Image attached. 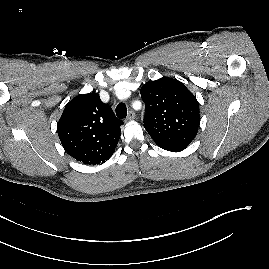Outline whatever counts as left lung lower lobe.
Listing matches in <instances>:
<instances>
[{
	"mask_svg": "<svg viewBox=\"0 0 269 269\" xmlns=\"http://www.w3.org/2000/svg\"><path fill=\"white\" fill-rule=\"evenodd\" d=\"M187 146H168V147H161L162 149L168 150V151H173V152H180L184 150Z\"/></svg>",
	"mask_w": 269,
	"mask_h": 269,
	"instance_id": "left-lung-lower-lobe-1",
	"label": "left lung lower lobe"
}]
</instances>
